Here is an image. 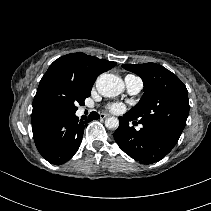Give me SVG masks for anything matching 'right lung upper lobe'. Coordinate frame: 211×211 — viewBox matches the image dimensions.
Listing matches in <instances>:
<instances>
[{
	"label": "right lung upper lobe",
	"instance_id": "obj_1",
	"mask_svg": "<svg viewBox=\"0 0 211 211\" xmlns=\"http://www.w3.org/2000/svg\"><path fill=\"white\" fill-rule=\"evenodd\" d=\"M116 62L99 59L84 53H72L55 60L42 77L33 102L32 125L52 118L47 99L58 87L75 86L91 89L96 78L111 69Z\"/></svg>",
	"mask_w": 211,
	"mask_h": 211
}]
</instances>
